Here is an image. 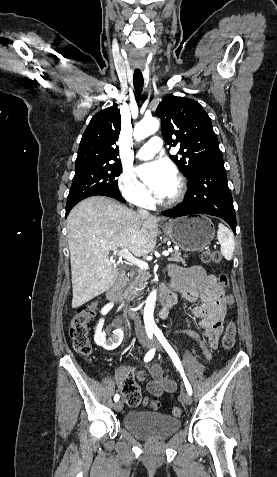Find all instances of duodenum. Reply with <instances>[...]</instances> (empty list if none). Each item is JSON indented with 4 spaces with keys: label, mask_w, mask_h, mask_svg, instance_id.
I'll return each instance as SVG.
<instances>
[{
    "label": "duodenum",
    "mask_w": 277,
    "mask_h": 477,
    "mask_svg": "<svg viewBox=\"0 0 277 477\" xmlns=\"http://www.w3.org/2000/svg\"><path fill=\"white\" fill-rule=\"evenodd\" d=\"M125 282V273L120 271L116 282L108 289L107 298L116 306L119 312L130 319L138 318V313L128 307L123 299L122 287ZM162 313L166 314L168 309L177 302V298L173 293H166L161 297Z\"/></svg>",
    "instance_id": "410a0bca"
}]
</instances>
